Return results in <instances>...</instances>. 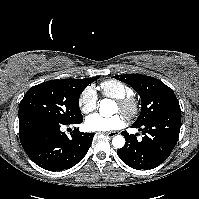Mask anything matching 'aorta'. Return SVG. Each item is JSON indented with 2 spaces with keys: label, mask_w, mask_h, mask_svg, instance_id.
<instances>
[{
  "label": "aorta",
  "mask_w": 199,
  "mask_h": 199,
  "mask_svg": "<svg viewBox=\"0 0 199 199\" xmlns=\"http://www.w3.org/2000/svg\"><path fill=\"white\" fill-rule=\"evenodd\" d=\"M99 107V112L103 117H111L117 110L116 102L111 99L101 100ZM112 144L115 148H122L125 145V138L122 135L114 136Z\"/></svg>",
  "instance_id": "obj_1"
}]
</instances>
